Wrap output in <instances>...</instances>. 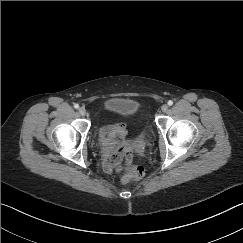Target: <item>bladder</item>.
I'll return each instance as SVG.
<instances>
[{
	"mask_svg": "<svg viewBox=\"0 0 243 243\" xmlns=\"http://www.w3.org/2000/svg\"><path fill=\"white\" fill-rule=\"evenodd\" d=\"M138 110L139 105L135 101L125 98H110L105 106L106 114L115 115L130 122L134 121ZM100 121L97 124V128H99Z\"/></svg>",
	"mask_w": 243,
	"mask_h": 243,
	"instance_id": "31cf9c89",
	"label": "bladder"
}]
</instances>
